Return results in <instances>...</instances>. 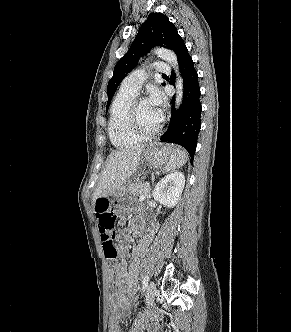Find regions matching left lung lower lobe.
Returning <instances> with one entry per match:
<instances>
[{
	"instance_id": "left-lung-lower-lobe-1",
	"label": "left lung lower lobe",
	"mask_w": 291,
	"mask_h": 332,
	"mask_svg": "<svg viewBox=\"0 0 291 332\" xmlns=\"http://www.w3.org/2000/svg\"><path fill=\"white\" fill-rule=\"evenodd\" d=\"M178 62L184 82L183 100L179 110L176 111L174 109L175 97L172 98L171 122L160 139L182 145L193 160L201 128L200 87L197 71L186 47L178 58ZM171 79L170 83L174 84V76Z\"/></svg>"
}]
</instances>
